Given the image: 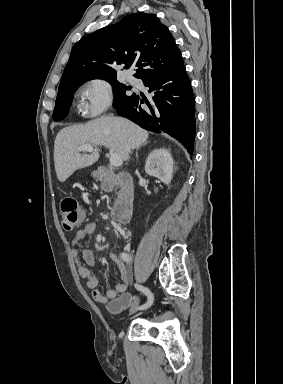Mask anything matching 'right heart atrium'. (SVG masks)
<instances>
[{
	"instance_id": "right-heart-atrium-1",
	"label": "right heart atrium",
	"mask_w": 283,
	"mask_h": 384,
	"mask_svg": "<svg viewBox=\"0 0 283 384\" xmlns=\"http://www.w3.org/2000/svg\"><path fill=\"white\" fill-rule=\"evenodd\" d=\"M78 111L83 119L96 122L112 105L114 91L111 82L103 77H90L77 88Z\"/></svg>"
}]
</instances>
